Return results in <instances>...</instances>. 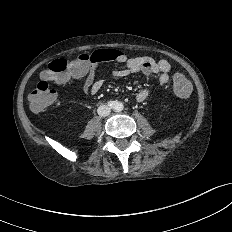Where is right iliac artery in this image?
Segmentation results:
<instances>
[{
  "mask_svg": "<svg viewBox=\"0 0 232 232\" xmlns=\"http://www.w3.org/2000/svg\"><path fill=\"white\" fill-rule=\"evenodd\" d=\"M108 106H110L111 108L115 106V102L114 101H109L108 102Z\"/></svg>",
  "mask_w": 232,
  "mask_h": 232,
  "instance_id": "obj_1",
  "label": "right iliac artery"
}]
</instances>
